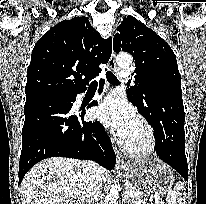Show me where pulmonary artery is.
<instances>
[{
    "instance_id": "pulmonary-artery-1",
    "label": "pulmonary artery",
    "mask_w": 206,
    "mask_h": 204,
    "mask_svg": "<svg viewBox=\"0 0 206 204\" xmlns=\"http://www.w3.org/2000/svg\"><path fill=\"white\" fill-rule=\"evenodd\" d=\"M130 73H131L130 70H125V71H122L120 73V76L125 79V78H127L130 75Z\"/></svg>"
}]
</instances>
